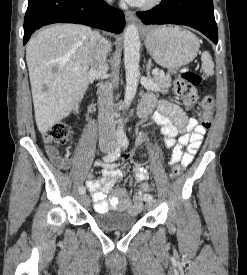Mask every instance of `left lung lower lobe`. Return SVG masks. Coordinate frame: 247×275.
Instances as JSON below:
<instances>
[{"label":"left lung lower lobe","mask_w":247,"mask_h":275,"mask_svg":"<svg viewBox=\"0 0 247 275\" xmlns=\"http://www.w3.org/2000/svg\"><path fill=\"white\" fill-rule=\"evenodd\" d=\"M137 15L145 24H179L195 28L215 44L217 25L212 0H162L159 5Z\"/></svg>","instance_id":"left-lung-lower-lobe-1"}]
</instances>
